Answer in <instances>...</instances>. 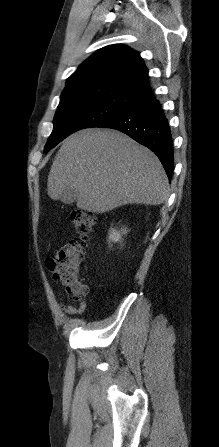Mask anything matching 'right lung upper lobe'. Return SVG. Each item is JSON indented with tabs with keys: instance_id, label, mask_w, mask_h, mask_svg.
<instances>
[{
	"instance_id": "right-lung-upper-lobe-1",
	"label": "right lung upper lobe",
	"mask_w": 219,
	"mask_h": 447,
	"mask_svg": "<svg viewBox=\"0 0 219 447\" xmlns=\"http://www.w3.org/2000/svg\"><path fill=\"white\" fill-rule=\"evenodd\" d=\"M76 86L112 87L142 102L152 98L142 58L125 45L106 46L84 61L66 82V88Z\"/></svg>"
}]
</instances>
